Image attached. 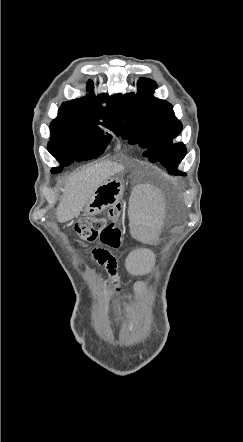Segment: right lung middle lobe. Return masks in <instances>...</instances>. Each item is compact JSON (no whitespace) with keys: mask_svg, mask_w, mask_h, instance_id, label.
I'll list each match as a JSON object with an SVG mask.
<instances>
[{"mask_svg":"<svg viewBox=\"0 0 243 442\" xmlns=\"http://www.w3.org/2000/svg\"><path fill=\"white\" fill-rule=\"evenodd\" d=\"M98 120L78 117L59 109L58 117L50 125L49 152L63 166L72 161L89 160L101 155L111 136H103L97 126ZM105 127L119 135L120 127L103 123ZM57 169V170H59Z\"/></svg>","mask_w":243,"mask_h":442,"instance_id":"dd1d6c3e","label":"right lung middle lobe"}]
</instances>
